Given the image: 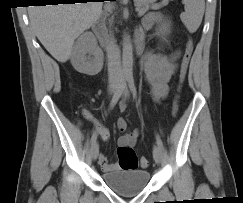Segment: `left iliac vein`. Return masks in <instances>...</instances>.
Instances as JSON below:
<instances>
[{
	"label": "left iliac vein",
	"mask_w": 243,
	"mask_h": 203,
	"mask_svg": "<svg viewBox=\"0 0 243 203\" xmlns=\"http://www.w3.org/2000/svg\"><path fill=\"white\" fill-rule=\"evenodd\" d=\"M123 93H124L125 96H128L127 88L124 89ZM162 157H163L162 149L158 145H155L154 148H153V158H154L155 162L161 163Z\"/></svg>",
	"instance_id": "left-iliac-vein-1"
}]
</instances>
